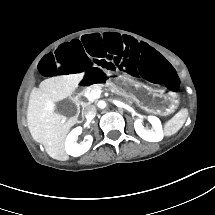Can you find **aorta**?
<instances>
[{"label": "aorta", "instance_id": "1", "mask_svg": "<svg viewBox=\"0 0 215 215\" xmlns=\"http://www.w3.org/2000/svg\"><path fill=\"white\" fill-rule=\"evenodd\" d=\"M97 106L100 109H104L106 107V101L105 100H99Z\"/></svg>", "mask_w": 215, "mask_h": 215}]
</instances>
